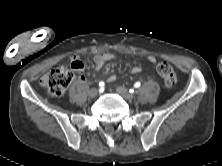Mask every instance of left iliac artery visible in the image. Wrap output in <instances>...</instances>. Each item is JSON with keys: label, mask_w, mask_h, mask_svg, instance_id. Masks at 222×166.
<instances>
[{"label": "left iliac artery", "mask_w": 222, "mask_h": 166, "mask_svg": "<svg viewBox=\"0 0 222 166\" xmlns=\"http://www.w3.org/2000/svg\"><path fill=\"white\" fill-rule=\"evenodd\" d=\"M140 85H141V83H140V82H136V83L134 84V87H135V88H139V87H140ZM130 92H131V90H130Z\"/></svg>", "instance_id": "obj_1"}]
</instances>
